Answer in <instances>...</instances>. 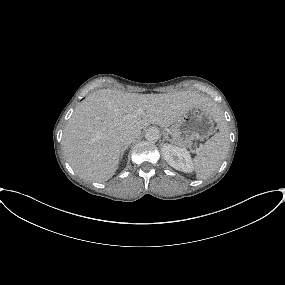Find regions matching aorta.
Segmentation results:
<instances>
[{
  "label": "aorta",
  "instance_id": "aorta-1",
  "mask_svg": "<svg viewBox=\"0 0 285 285\" xmlns=\"http://www.w3.org/2000/svg\"><path fill=\"white\" fill-rule=\"evenodd\" d=\"M160 137L159 130L156 128H149L145 132V138L149 142H156Z\"/></svg>",
  "mask_w": 285,
  "mask_h": 285
}]
</instances>
